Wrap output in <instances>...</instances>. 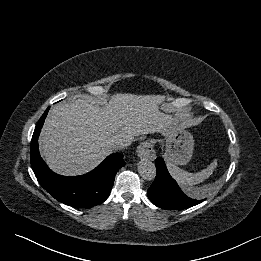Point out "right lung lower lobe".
<instances>
[{
    "mask_svg": "<svg viewBox=\"0 0 261 261\" xmlns=\"http://www.w3.org/2000/svg\"><path fill=\"white\" fill-rule=\"evenodd\" d=\"M49 108L39 119L31 140V167L41 186L58 201L77 208H90L109 196L117 171L125 165L123 155L108 156L93 171L76 177L54 173L40 157L38 137Z\"/></svg>",
    "mask_w": 261,
    "mask_h": 261,
    "instance_id": "obj_1",
    "label": "right lung lower lobe"
}]
</instances>
